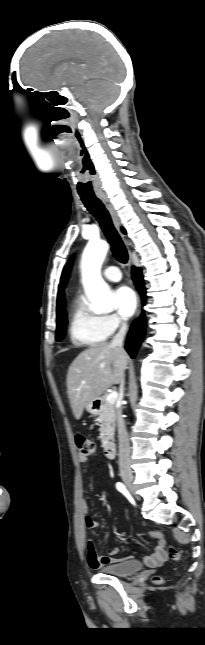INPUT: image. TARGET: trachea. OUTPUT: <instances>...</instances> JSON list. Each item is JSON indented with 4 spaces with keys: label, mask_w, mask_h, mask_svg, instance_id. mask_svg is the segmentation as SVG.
Segmentation results:
<instances>
[{
    "label": "trachea",
    "mask_w": 205,
    "mask_h": 645,
    "mask_svg": "<svg viewBox=\"0 0 205 645\" xmlns=\"http://www.w3.org/2000/svg\"><path fill=\"white\" fill-rule=\"evenodd\" d=\"M81 200L87 210L99 222L108 242L111 245V250L115 259L123 264L127 263V249L114 228L109 212L105 208L104 204L96 196H81Z\"/></svg>",
    "instance_id": "3493384b"
}]
</instances>
